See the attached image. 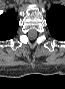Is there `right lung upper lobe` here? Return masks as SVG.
I'll return each mask as SVG.
<instances>
[{
	"label": "right lung upper lobe",
	"mask_w": 65,
	"mask_h": 89,
	"mask_svg": "<svg viewBox=\"0 0 65 89\" xmlns=\"http://www.w3.org/2000/svg\"><path fill=\"white\" fill-rule=\"evenodd\" d=\"M17 13L8 10L0 16V40H8L16 35L18 29Z\"/></svg>",
	"instance_id": "cb5924a9"
}]
</instances>
